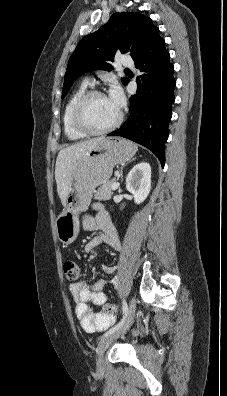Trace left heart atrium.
Returning <instances> with one entry per match:
<instances>
[{"instance_id": "left-heart-atrium-1", "label": "left heart atrium", "mask_w": 227, "mask_h": 396, "mask_svg": "<svg viewBox=\"0 0 227 396\" xmlns=\"http://www.w3.org/2000/svg\"><path fill=\"white\" fill-rule=\"evenodd\" d=\"M109 101L118 109L124 104V96L121 89L118 86H113L108 95Z\"/></svg>"}]
</instances>
